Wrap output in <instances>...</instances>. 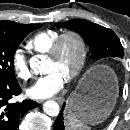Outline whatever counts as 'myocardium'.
<instances>
[{"mask_svg":"<svg viewBox=\"0 0 130 130\" xmlns=\"http://www.w3.org/2000/svg\"><path fill=\"white\" fill-rule=\"evenodd\" d=\"M67 38H73L77 41L78 45H79V58L77 61L76 66L74 67V69L66 76V79L68 81L74 80L75 78H77L86 63V59H87V42L84 38V36L79 33L78 31L75 30H67L63 33H61L52 43L49 51H48V55L50 58L52 59H56L61 51L63 42L67 39Z\"/></svg>","mask_w":130,"mask_h":130,"instance_id":"myocardium-1","label":"myocardium"}]
</instances>
